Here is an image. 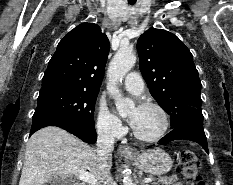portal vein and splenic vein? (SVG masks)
Segmentation results:
<instances>
[{"label":"portal vein and splenic vein","instance_id":"18ae733b","mask_svg":"<svg viewBox=\"0 0 233 185\" xmlns=\"http://www.w3.org/2000/svg\"><path fill=\"white\" fill-rule=\"evenodd\" d=\"M78 179L83 181V182L89 183L91 185L98 184V180H96L93 175H91L89 172H86L84 169L80 170V172L78 174ZM144 182L151 183V182H153V179L152 178H145Z\"/></svg>","mask_w":233,"mask_h":185}]
</instances>
